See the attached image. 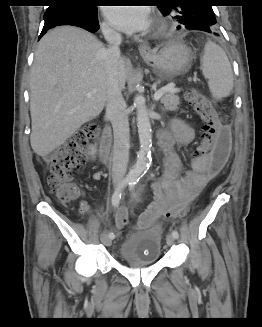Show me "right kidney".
<instances>
[{
	"instance_id": "right-kidney-1",
	"label": "right kidney",
	"mask_w": 262,
	"mask_h": 327,
	"mask_svg": "<svg viewBox=\"0 0 262 327\" xmlns=\"http://www.w3.org/2000/svg\"><path fill=\"white\" fill-rule=\"evenodd\" d=\"M95 154H96V149L93 147V148H91V155H92V157H94Z\"/></svg>"
}]
</instances>
